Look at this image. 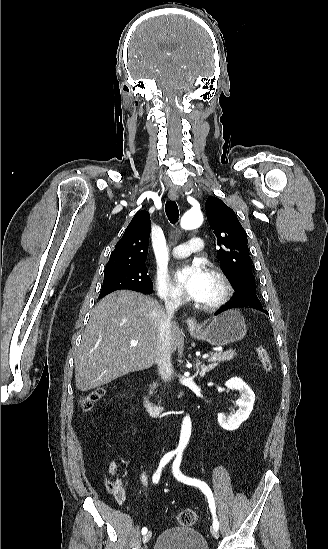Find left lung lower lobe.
Here are the masks:
<instances>
[{
  "instance_id": "0a47b994",
  "label": "left lung lower lobe",
  "mask_w": 328,
  "mask_h": 549,
  "mask_svg": "<svg viewBox=\"0 0 328 549\" xmlns=\"http://www.w3.org/2000/svg\"><path fill=\"white\" fill-rule=\"evenodd\" d=\"M253 308L262 312H265L269 315L267 311H265L259 302H253V303H247L243 300H232L230 303L226 304L225 306L221 307L218 311H216L215 315H218L226 310L233 309V308Z\"/></svg>"
}]
</instances>
